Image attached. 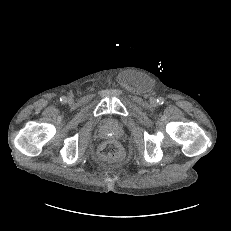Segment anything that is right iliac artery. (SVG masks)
Segmentation results:
<instances>
[{
    "label": "right iliac artery",
    "instance_id": "obj_1",
    "mask_svg": "<svg viewBox=\"0 0 231 231\" xmlns=\"http://www.w3.org/2000/svg\"><path fill=\"white\" fill-rule=\"evenodd\" d=\"M60 101L64 103V102L66 101V97L62 96V97L60 98Z\"/></svg>",
    "mask_w": 231,
    "mask_h": 231
}]
</instances>
